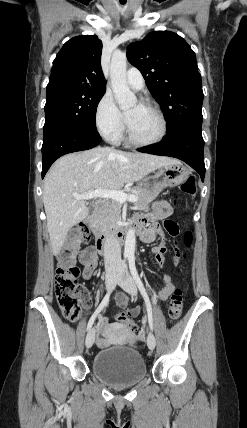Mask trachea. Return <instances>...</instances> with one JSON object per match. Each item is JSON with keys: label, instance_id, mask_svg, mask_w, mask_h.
Masks as SVG:
<instances>
[{"label": "trachea", "instance_id": "trachea-1", "mask_svg": "<svg viewBox=\"0 0 247 428\" xmlns=\"http://www.w3.org/2000/svg\"><path fill=\"white\" fill-rule=\"evenodd\" d=\"M126 1V0H125ZM126 2H121V4H125Z\"/></svg>", "mask_w": 247, "mask_h": 428}]
</instances>
